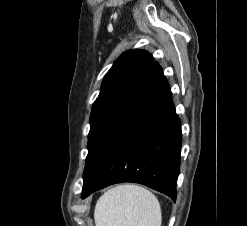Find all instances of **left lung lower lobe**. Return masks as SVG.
Here are the masks:
<instances>
[{
  "instance_id": "0a47b994",
  "label": "left lung lower lobe",
  "mask_w": 247,
  "mask_h": 226,
  "mask_svg": "<svg viewBox=\"0 0 247 226\" xmlns=\"http://www.w3.org/2000/svg\"><path fill=\"white\" fill-rule=\"evenodd\" d=\"M181 123L156 62L88 152L82 198L108 185L136 182L176 200Z\"/></svg>"
}]
</instances>
